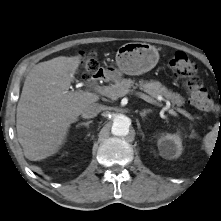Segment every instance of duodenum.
I'll use <instances>...</instances> for the list:
<instances>
[{"mask_svg":"<svg viewBox=\"0 0 221 221\" xmlns=\"http://www.w3.org/2000/svg\"><path fill=\"white\" fill-rule=\"evenodd\" d=\"M95 81H104L107 78V74L103 70H98L93 74Z\"/></svg>","mask_w":221,"mask_h":221,"instance_id":"1","label":"duodenum"}]
</instances>
